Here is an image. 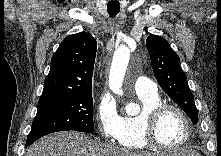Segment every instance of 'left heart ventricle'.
I'll use <instances>...</instances> for the list:
<instances>
[{"instance_id": "1", "label": "left heart ventricle", "mask_w": 221, "mask_h": 156, "mask_svg": "<svg viewBox=\"0 0 221 156\" xmlns=\"http://www.w3.org/2000/svg\"><path fill=\"white\" fill-rule=\"evenodd\" d=\"M185 133V123L177 112L169 110L163 114L157 127V137L162 144L177 146L182 142Z\"/></svg>"}]
</instances>
